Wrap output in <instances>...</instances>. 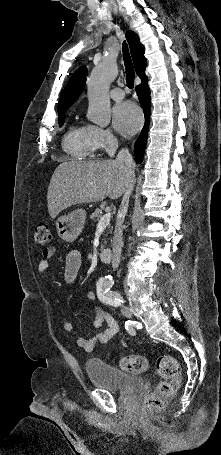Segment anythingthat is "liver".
<instances>
[{
    "mask_svg": "<svg viewBox=\"0 0 221 455\" xmlns=\"http://www.w3.org/2000/svg\"><path fill=\"white\" fill-rule=\"evenodd\" d=\"M128 176L116 160L64 161L54 171L47 192L51 218L64 209L82 203L119 198Z\"/></svg>",
    "mask_w": 221,
    "mask_h": 455,
    "instance_id": "liver-1",
    "label": "liver"
}]
</instances>
